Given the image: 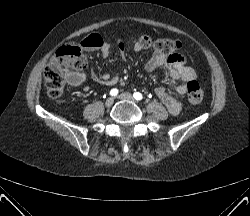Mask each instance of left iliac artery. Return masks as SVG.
<instances>
[{"instance_id":"obj_1","label":"left iliac artery","mask_w":250,"mask_h":216,"mask_svg":"<svg viewBox=\"0 0 250 216\" xmlns=\"http://www.w3.org/2000/svg\"><path fill=\"white\" fill-rule=\"evenodd\" d=\"M133 97H134L136 100H142V98H143L142 94L139 93V92H135V93L133 94Z\"/></svg>"}]
</instances>
